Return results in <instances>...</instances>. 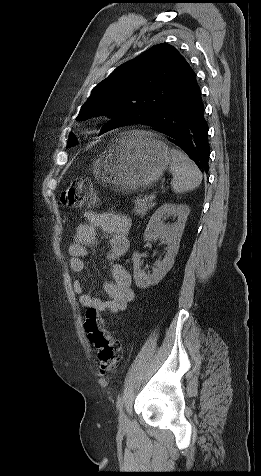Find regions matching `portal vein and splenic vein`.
<instances>
[{
    "label": "portal vein and splenic vein",
    "instance_id": "18ae733b",
    "mask_svg": "<svg viewBox=\"0 0 261 476\" xmlns=\"http://www.w3.org/2000/svg\"><path fill=\"white\" fill-rule=\"evenodd\" d=\"M155 197H156L155 194H150L148 198H149V200H154Z\"/></svg>",
    "mask_w": 261,
    "mask_h": 476
}]
</instances>
